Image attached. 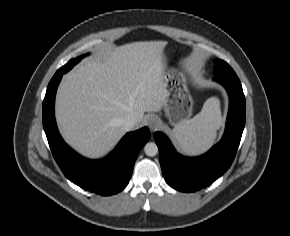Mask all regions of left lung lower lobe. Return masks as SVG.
I'll list each match as a JSON object with an SVG mask.
<instances>
[{"label":"left lung lower lobe","mask_w":290,"mask_h":236,"mask_svg":"<svg viewBox=\"0 0 290 236\" xmlns=\"http://www.w3.org/2000/svg\"><path fill=\"white\" fill-rule=\"evenodd\" d=\"M229 95V112L221 141L206 154L188 158L178 154L170 140L160 132L154 134L159 148L160 165L166 182L179 191L194 192L218 179L231 166L245 126V97L235 73L216 75Z\"/></svg>","instance_id":"obj_1"}]
</instances>
